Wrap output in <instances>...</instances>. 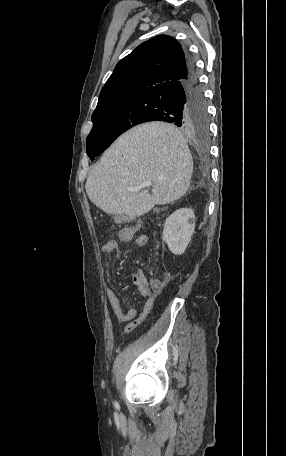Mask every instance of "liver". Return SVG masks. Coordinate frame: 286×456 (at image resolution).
<instances>
[{
    "mask_svg": "<svg viewBox=\"0 0 286 456\" xmlns=\"http://www.w3.org/2000/svg\"><path fill=\"white\" fill-rule=\"evenodd\" d=\"M192 172V156L180 130L168 123L149 122L130 129L106 150L85 188L89 199L104 212L134 220L155 205L185 195ZM146 180L152 182V195L141 190Z\"/></svg>",
    "mask_w": 286,
    "mask_h": 456,
    "instance_id": "obj_1",
    "label": "liver"
}]
</instances>
